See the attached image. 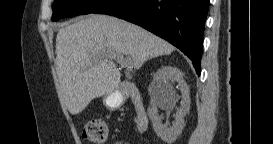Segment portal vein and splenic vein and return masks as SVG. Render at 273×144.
<instances>
[{
    "mask_svg": "<svg viewBox=\"0 0 273 144\" xmlns=\"http://www.w3.org/2000/svg\"><path fill=\"white\" fill-rule=\"evenodd\" d=\"M107 57L109 59H114L115 61H117L118 63L125 67H130L131 65V58L128 56L124 58L123 55L120 53L110 52L108 53Z\"/></svg>",
    "mask_w": 273,
    "mask_h": 144,
    "instance_id": "1",
    "label": "portal vein and splenic vein"
}]
</instances>
